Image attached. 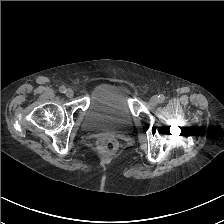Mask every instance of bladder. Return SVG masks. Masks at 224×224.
<instances>
[{"instance_id":"obj_1","label":"bladder","mask_w":224,"mask_h":224,"mask_svg":"<svg viewBox=\"0 0 224 224\" xmlns=\"http://www.w3.org/2000/svg\"><path fill=\"white\" fill-rule=\"evenodd\" d=\"M133 121L124 88L114 82L97 85L89 98L82 121V130L90 134H127Z\"/></svg>"}]
</instances>
